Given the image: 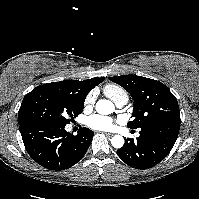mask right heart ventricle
<instances>
[{
  "label": "right heart ventricle",
  "mask_w": 199,
  "mask_h": 199,
  "mask_svg": "<svg viewBox=\"0 0 199 199\" xmlns=\"http://www.w3.org/2000/svg\"><path fill=\"white\" fill-rule=\"evenodd\" d=\"M104 93L110 98H112L116 95H126L127 96L126 92L122 88L115 86V85H108L105 88Z\"/></svg>",
  "instance_id": "obj_1"
}]
</instances>
